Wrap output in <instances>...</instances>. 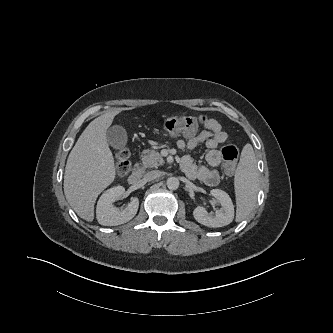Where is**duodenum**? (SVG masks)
<instances>
[{
	"mask_svg": "<svg viewBox=\"0 0 333 333\" xmlns=\"http://www.w3.org/2000/svg\"><path fill=\"white\" fill-rule=\"evenodd\" d=\"M143 175V168L137 167L134 172L129 176L128 183L130 185H136L140 181L141 177Z\"/></svg>",
	"mask_w": 333,
	"mask_h": 333,
	"instance_id": "duodenum-1",
	"label": "duodenum"
}]
</instances>
